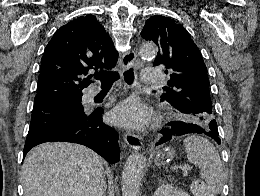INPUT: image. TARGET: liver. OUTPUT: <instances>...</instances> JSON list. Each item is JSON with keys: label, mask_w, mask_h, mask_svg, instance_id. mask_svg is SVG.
I'll list each match as a JSON object with an SVG mask.
<instances>
[{"label": "liver", "mask_w": 260, "mask_h": 196, "mask_svg": "<svg viewBox=\"0 0 260 196\" xmlns=\"http://www.w3.org/2000/svg\"><path fill=\"white\" fill-rule=\"evenodd\" d=\"M24 196H103L104 160L79 144L46 142L22 166Z\"/></svg>", "instance_id": "liver-1"}]
</instances>
